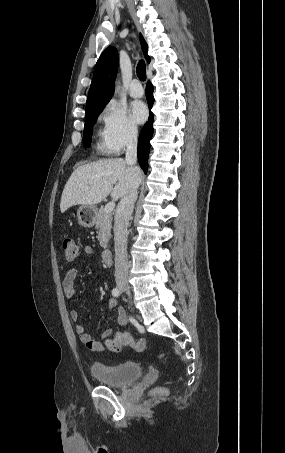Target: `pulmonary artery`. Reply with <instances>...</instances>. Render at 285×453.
I'll list each match as a JSON object with an SVG mask.
<instances>
[{
	"label": "pulmonary artery",
	"mask_w": 285,
	"mask_h": 453,
	"mask_svg": "<svg viewBox=\"0 0 285 453\" xmlns=\"http://www.w3.org/2000/svg\"><path fill=\"white\" fill-rule=\"evenodd\" d=\"M143 88L138 79H133L129 87V95L133 98H140L143 96Z\"/></svg>",
	"instance_id": "e3ab8cb5"
}]
</instances>
